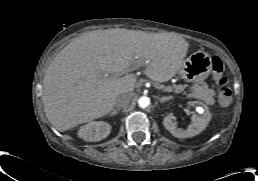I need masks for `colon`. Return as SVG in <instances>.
I'll return each instance as SVG.
<instances>
[{
	"mask_svg": "<svg viewBox=\"0 0 258 181\" xmlns=\"http://www.w3.org/2000/svg\"><path fill=\"white\" fill-rule=\"evenodd\" d=\"M213 79L219 88V101L222 106H228L232 101V92L226 87L227 79L223 73V63L218 57H213L211 61Z\"/></svg>",
	"mask_w": 258,
	"mask_h": 181,
	"instance_id": "obj_1",
	"label": "colon"
}]
</instances>
